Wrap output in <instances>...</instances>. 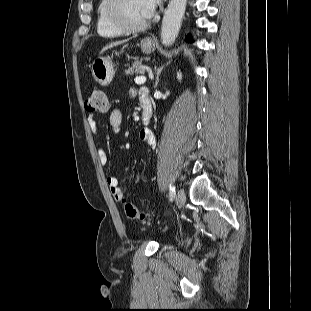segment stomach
<instances>
[{
	"mask_svg": "<svg viewBox=\"0 0 311 311\" xmlns=\"http://www.w3.org/2000/svg\"><path fill=\"white\" fill-rule=\"evenodd\" d=\"M141 49L144 53H151L155 46L150 38H145L140 43ZM92 75L94 79L102 86H107L113 80L115 75L114 65L111 58L98 57L92 64Z\"/></svg>",
	"mask_w": 311,
	"mask_h": 311,
	"instance_id": "0dacf381",
	"label": "stomach"
}]
</instances>
